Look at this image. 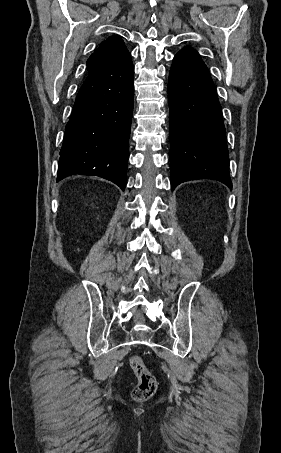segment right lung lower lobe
Returning <instances> with one entry per match:
<instances>
[{
  "mask_svg": "<svg viewBox=\"0 0 281 453\" xmlns=\"http://www.w3.org/2000/svg\"><path fill=\"white\" fill-rule=\"evenodd\" d=\"M133 99L128 51L87 75L65 127L57 182L74 174L95 175L124 190Z\"/></svg>",
  "mask_w": 281,
  "mask_h": 453,
  "instance_id": "1",
  "label": "right lung lower lobe"
}]
</instances>
